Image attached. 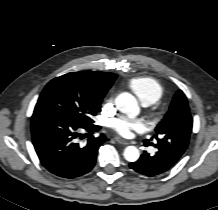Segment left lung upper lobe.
<instances>
[{
	"mask_svg": "<svg viewBox=\"0 0 218 210\" xmlns=\"http://www.w3.org/2000/svg\"><path fill=\"white\" fill-rule=\"evenodd\" d=\"M155 131L153 138L163 152H185L192 132V117L183 91L179 90L174 95L169 111Z\"/></svg>",
	"mask_w": 218,
	"mask_h": 210,
	"instance_id": "left-lung-upper-lobe-1",
	"label": "left lung upper lobe"
}]
</instances>
